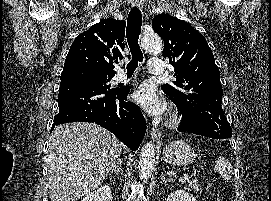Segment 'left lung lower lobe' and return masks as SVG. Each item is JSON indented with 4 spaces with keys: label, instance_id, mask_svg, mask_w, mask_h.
Wrapping results in <instances>:
<instances>
[{
    "label": "left lung lower lobe",
    "instance_id": "obj_1",
    "mask_svg": "<svg viewBox=\"0 0 271 201\" xmlns=\"http://www.w3.org/2000/svg\"><path fill=\"white\" fill-rule=\"evenodd\" d=\"M178 131L202 135V133L198 129L184 126L182 124L178 127Z\"/></svg>",
    "mask_w": 271,
    "mask_h": 201
}]
</instances>
